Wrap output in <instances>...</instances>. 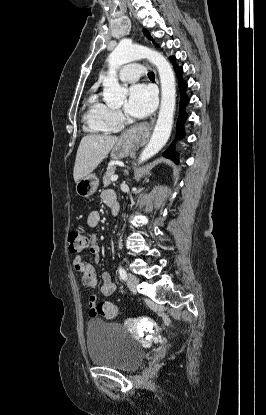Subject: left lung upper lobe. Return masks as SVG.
I'll return each mask as SVG.
<instances>
[{"instance_id": "1", "label": "left lung upper lobe", "mask_w": 266, "mask_h": 415, "mask_svg": "<svg viewBox=\"0 0 266 415\" xmlns=\"http://www.w3.org/2000/svg\"><path fill=\"white\" fill-rule=\"evenodd\" d=\"M143 32L147 38H149L150 40L152 39L149 32L146 29H143Z\"/></svg>"}]
</instances>
